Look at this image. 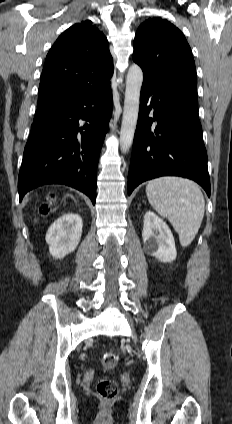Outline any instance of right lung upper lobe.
I'll return each instance as SVG.
<instances>
[{
  "label": "right lung upper lobe",
  "mask_w": 232,
  "mask_h": 424,
  "mask_svg": "<svg viewBox=\"0 0 232 424\" xmlns=\"http://www.w3.org/2000/svg\"><path fill=\"white\" fill-rule=\"evenodd\" d=\"M113 59L109 44L91 21L62 33L47 54L38 105L85 97L110 86Z\"/></svg>",
  "instance_id": "cb5924a9"
}]
</instances>
